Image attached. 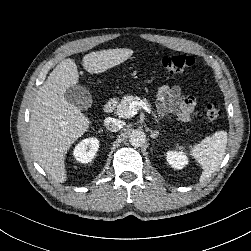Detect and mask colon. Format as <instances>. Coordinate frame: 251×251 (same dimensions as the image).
<instances>
[{
    "label": "colon",
    "instance_id": "5ec220e1",
    "mask_svg": "<svg viewBox=\"0 0 251 251\" xmlns=\"http://www.w3.org/2000/svg\"><path fill=\"white\" fill-rule=\"evenodd\" d=\"M194 64V59L187 55H166L160 60V65L171 74H181ZM221 115L220 109L214 103L205 106V118L209 121L217 120Z\"/></svg>",
    "mask_w": 251,
    "mask_h": 251
}]
</instances>
